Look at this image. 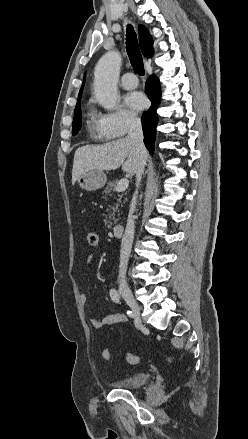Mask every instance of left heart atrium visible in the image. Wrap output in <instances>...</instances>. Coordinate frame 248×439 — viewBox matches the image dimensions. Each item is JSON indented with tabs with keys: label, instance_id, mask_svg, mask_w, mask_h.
Segmentation results:
<instances>
[{
	"label": "left heart atrium",
	"instance_id": "obj_1",
	"mask_svg": "<svg viewBox=\"0 0 248 439\" xmlns=\"http://www.w3.org/2000/svg\"><path fill=\"white\" fill-rule=\"evenodd\" d=\"M126 104L135 111H140L146 106V98L141 92H131L125 97Z\"/></svg>",
	"mask_w": 248,
	"mask_h": 439
}]
</instances>
